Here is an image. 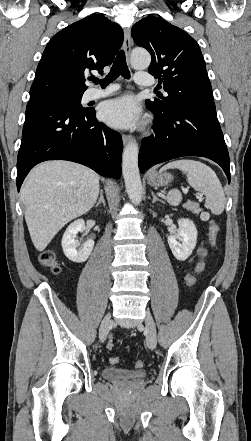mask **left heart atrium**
I'll return each mask as SVG.
<instances>
[{
	"mask_svg": "<svg viewBox=\"0 0 251 441\" xmlns=\"http://www.w3.org/2000/svg\"><path fill=\"white\" fill-rule=\"evenodd\" d=\"M100 118L117 128H132L140 123L141 110L130 96H121L104 102L99 110Z\"/></svg>",
	"mask_w": 251,
	"mask_h": 441,
	"instance_id": "left-heart-atrium-1",
	"label": "left heart atrium"
}]
</instances>
